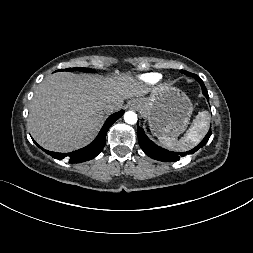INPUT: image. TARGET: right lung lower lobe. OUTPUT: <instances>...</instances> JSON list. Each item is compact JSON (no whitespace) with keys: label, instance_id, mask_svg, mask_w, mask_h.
<instances>
[{"label":"right lung lower lobe","instance_id":"right-lung-lower-lobe-1","mask_svg":"<svg viewBox=\"0 0 253 253\" xmlns=\"http://www.w3.org/2000/svg\"><path fill=\"white\" fill-rule=\"evenodd\" d=\"M124 110H121L119 112H116L112 114L103 125L101 131L99 132L98 136L95 138V140L89 144L88 146L81 148L79 150L73 151L71 153H57V152H51L48 150H45L41 148L36 142L35 144L40 147L44 152L52 156L56 159H63L67 158L70 163H80L87 160H91L95 158L104 148L106 144V134L109 130V128L112 126V124L120 118L124 114Z\"/></svg>","mask_w":253,"mask_h":253}]
</instances>
